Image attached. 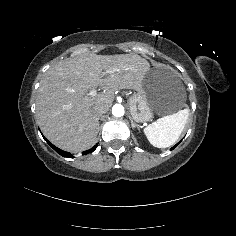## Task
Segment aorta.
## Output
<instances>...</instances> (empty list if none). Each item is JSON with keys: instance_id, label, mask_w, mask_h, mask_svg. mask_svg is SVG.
I'll list each match as a JSON object with an SVG mask.
<instances>
[{"instance_id": "obj_1", "label": "aorta", "mask_w": 236, "mask_h": 236, "mask_svg": "<svg viewBox=\"0 0 236 236\" xmlns=\"http://www.w3.org/2000/svg\"><path fill=\"white\" fill-rule=\"evenodd\" d=\"M112 114L116 117L122 116L124 114V107L121 104L113 105Z\"/></svg>"}]
</instances>
